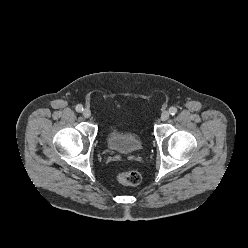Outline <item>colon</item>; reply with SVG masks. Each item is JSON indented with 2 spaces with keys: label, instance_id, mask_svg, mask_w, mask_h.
Instances as JSON below:
<instances>
[{
  "label": "colon",
  "instance_id": "5ec220e1",
  "mask_svg": "<svg viewBox=\"0 0 248 248\" xmlns=\"http://www.w3.org/2000/svg\"><path fill=\"white\" fill-rule=\"evenodd\" d=\"M117 179L121 184L127 186H137L141 183V175L134 170L119 173Z\"/></svg>",
  "mask_w": 248,
  "mask_h": 248
}]
</instances>
